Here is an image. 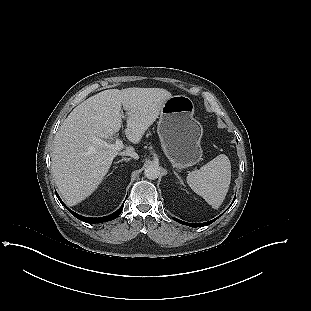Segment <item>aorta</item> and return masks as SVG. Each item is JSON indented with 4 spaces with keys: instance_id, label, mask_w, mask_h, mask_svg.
<instances>
[{
    "instance_id": "aorta-1",
    "label": "aorta",
    "mask_w": 311,
    "mask_h": 311,
    "mask_svg": "<svg viewBox=\"0 0 311 311\" xmlns=\"http://www.w3.org/2000/svg\"><path fill=\"white\" fill-rule=\"evenodd\" d=\"M147 179L155 180L160 176V168L157 165H149L144 170Z\"/></svg>"
}]
</instances>
